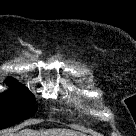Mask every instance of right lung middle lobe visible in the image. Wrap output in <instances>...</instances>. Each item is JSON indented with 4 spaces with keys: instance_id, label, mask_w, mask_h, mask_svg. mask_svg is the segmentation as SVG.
<instances>
[{
    "instance_id": "dd1d6c3e",
    "label": "right lung middle lobe",
    "mask_w": 136,
    "mask_h": 136,
    "mask_svg": "<svg viewBox=\"0 0 136 136\" xmlns=\"http://www.w3.org/2000/svg\"><path fill=\"white\" fill-rule=\"evenodd\" d=\"M0 94V130L25 120L37 111L34 96L18 82Z\"/></svg>"
}]
</instances>
